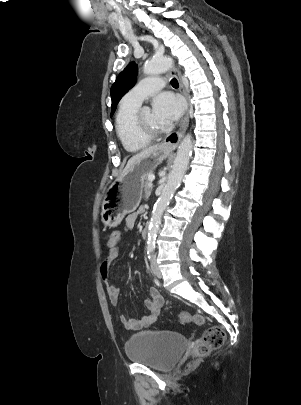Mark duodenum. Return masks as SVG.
<instances>
[{"instance_id": "duodenum-1", "label": "duodenum", "mask_w": 301, "mask_h": 405, "mask_svg": "<svg viewBox=\"0 0 301 405\" xmlns=\"http://www.w3.org/2000/svg\"><path fill=\"white\" fill-rule=\"evenodd\" d=\"M148 234H149V227H148V225H145L142 229L141 236H142V238L145 239L148 237Z\"/></svg>"}]
</instances>
